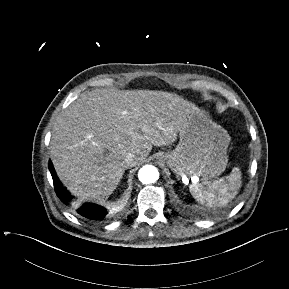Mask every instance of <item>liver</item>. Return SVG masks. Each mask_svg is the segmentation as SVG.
<instances>
[{"label":"liver","mask_w":289,"mask_h":289,"mask_svg":"<svg viewBox=\"0 0 289 289\" xmlns=\"http://www.w3.org/2000/svg\"><path fill=\"white\" fill-rule=\"evenodd\" d=\"M196 108L164 91L84 92L53 127L50 152L56 173L81 200L103 203L123 177L126 154L140 162L153 145L172 144Z\"/></svg>","instance_id":"obj_1"}]
</instances>
